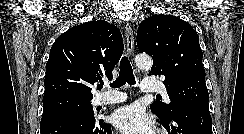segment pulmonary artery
<instances>
[{
    "label": "pulmonary artery",
    "mask_w": 244,
    "mask_h": 134,
    "mask_svg": "<svg viewBox=\"0 0 244 134\" xmlns=\"http://www.w3.org/2000/svg\"><path fill=\"white\" fill-rule=\"evenodd\" d=\"M141 91L143 92H159L162 93L166 99L167 103H170V99L167 95V89L165 85L161 82L152 80V79H144L141 84ZM126 100V95L123 93H119L117 91H109L105 94H101L96 97L95 102L98 105L105 104H114L120 103Z\"/></svg>",
    "instance_id": "pulmonary-artery-1"
}]
</instances>
